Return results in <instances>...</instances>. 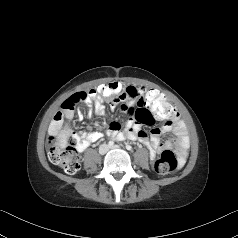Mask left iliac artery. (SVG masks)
<instances>
[{"instance_id":"1","label":"left iliac artery","mask_w":238,"mask_h":238,"mask_svg":"<svg viewBox=\"0 0 238 238\" xmlns=\"http://www.w3.org/2000/svg\"><path fill=\"white\" fill-rule=\"evenodd\" d=\"M127 150H132V147L130 145H126Z\"/></svg>"}]
</instances>
